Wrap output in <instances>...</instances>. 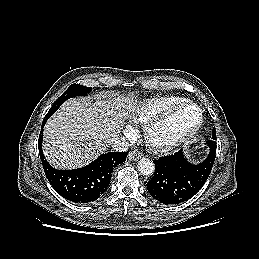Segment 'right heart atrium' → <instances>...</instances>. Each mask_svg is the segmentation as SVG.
<instances>
[{
	"instance_id": "obj_1",
	"label": "right heart atrium",
	"mask_w": 259,
	"mask_h": 259,
	"mask_svg": "<svg viewBox=\"0 0 259 259\" xmlns=\"http://www.w3.org/2000/svg\"><path fill=\"white\" fill-rule=\"evenodd\" d=\"M124 133L127 137H133L135 134L134 129L131 126H127L124 130Z\"/></svg>"
}]
</instances>
